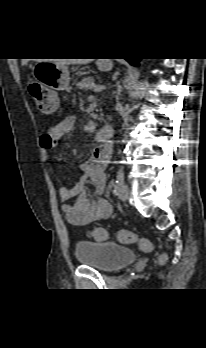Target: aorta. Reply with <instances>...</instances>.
<instances>
[{"label": "aorta", "instance_id": "aorta-1", "mask_svg": "<svg viewBox=\"0 0 206 348\" xmlns=\"http://www.w3.org/2000/svg\"><path fill=\"white\" fill-rule=\"evenodd\" d=\"M138 78H139L138 71L136 69H133L127 78V83L129 85H132L138 80Z\"/></svg>", "mask_w": 206, "mask_h": 348}]
</instances>
